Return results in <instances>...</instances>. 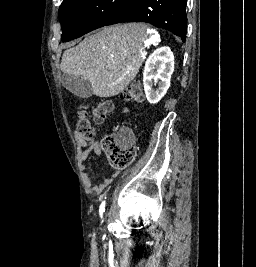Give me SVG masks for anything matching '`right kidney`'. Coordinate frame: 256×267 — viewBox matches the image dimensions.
I'll return each instance as SVG.
<instances>
[{
  "mask_svg": "<svg viewBox=\"0 0 256 267\" xmlns=\"http://www.w3.org/2000/svg\"><path fill=\"white\" fill-rule=\"evenodd\" d=\"M173 72L174 56L170 48L163 46V48L154 50L153 54L149 56L143 72V86L150 104H158L165 96L168 88H170ZM155 84H158L157 90H153Z\"/></svg>",
  "mask_w": 256,
  "mask_h": 267,
  "instance_id": "1",
  "label": "right kidney"
}]
</instances>
